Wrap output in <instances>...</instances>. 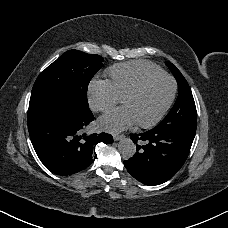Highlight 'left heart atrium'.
Instances as JSON below:
<instances>
[{"label": "left heart atrium", "mask_w": 228, "mask_h": 228, "mask_svg": "<svg viewBox=\"0 0 228 228\" xmlns=\"http://www.w3.org/2000/svg\"><path fill=\"white\" fill-rule=\"evenodd\" d=\"M120 118H123V120L121 121ZM134 121L135 117L128 107L112 111L101 119V122L105 124L106 128L115 130H121L132 124Z\"/></svg>", "instance_id": "obj_1"}]
</instances>
